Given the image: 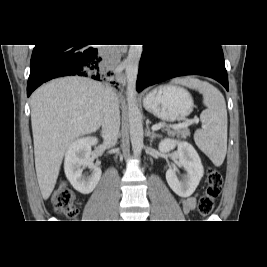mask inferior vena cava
<instances>
[{"mask_svg":"<svg viewBox=\"0 0 267 267\" xmlns=\"http://www.w3.org/2000/svg\"><path fill=\"white\" fill-rule=\"evenodd\" d=\"M120 128L119 102L115 92L108 88L106 97V112L102 123L103 143L106 147H113L117 143Z\"/></svg>","mask_w":267,"mask_h":267,"instance_id":"inferior-vena-cava-1","label":"inferior vena cava"}]
</instances>
